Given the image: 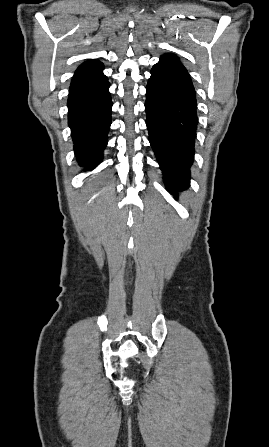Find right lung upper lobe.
<instances>
[{
	"instance_id": "1",
	"label": "right lung upper lobe",
	"mask_w": 269,
	"mask_h": 447,
	"mask_svg": "<svg viewBox=\"0 0 269 447\" xmlns=\"http://www.w3.org/2000/svg\"><path fill=\"white\" fill-rule=\"evenodd\" d=\"M95 60H87L86 62H84L83 64H86V63H91V62H94Z\"/></svg>"
}]
</instances>
